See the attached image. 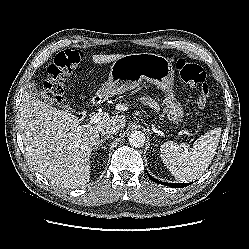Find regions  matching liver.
<instances>
[{
	"mask_svg": "<svg viewBox=\"0 0 249 249\" xmlns=\"http://www.w3.org/2000/svg\"><path fill=\"white\" fill-rule=\"evenodd\" d=\"M123 55H94L97 64H107ZM19 128L26 155L34 168L52 183L75 189L90 179V156L101 129L108 124L124 129L123 115L98 124L80 125L79 119L56 109L24 91L19 105Z\"/></svg>",
	"mask_w": 249,
	"mask_h": 249,
	"instance_id": "liver-1",
	"label": "liver"
}]
</instances>
